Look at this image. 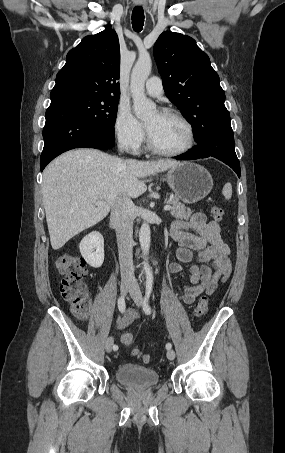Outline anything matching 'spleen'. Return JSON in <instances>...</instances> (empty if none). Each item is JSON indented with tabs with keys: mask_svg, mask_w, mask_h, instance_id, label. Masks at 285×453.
Segmentation results:
<instances>
[{
	"mask_svg": "<svg viewBox=\"0 0 285 453\" xmlns=\"http://www.w3.org/2000/svg\"><path fill=\"white\" fill-rule=\"evenodd\" d=\"M222 193H223L225 199L229 200L231 198V196H232V185H231V183L227 182L224 185Z\"/></svg>",
	"mask_w": 285,
	"mask_h": 453,
	"instance_id": "1",
	"label": "spleen"
}]
</instances>
